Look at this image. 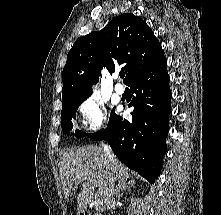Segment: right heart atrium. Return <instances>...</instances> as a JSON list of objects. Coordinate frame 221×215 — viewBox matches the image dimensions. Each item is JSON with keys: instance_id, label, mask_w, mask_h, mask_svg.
Here are the masks:
<instances>
[{"instance_id": "obj_1", "label": "right heart atrium", "mask_w": 221, "mask_h": 215, "mask_svg": "<svg viewBox=\"0 0 221 215\" xmlns=\"http://www.w3.org/2000/svg\"><path fill=\"white\" fill-rule=\"evenodd\" d=\"M83 126L88 132H97L105 124L107 105L96 96L85 99L78 107Z\"/></svg>"}]
</instances>
